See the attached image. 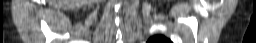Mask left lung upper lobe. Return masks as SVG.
Wrapping results in <instances>:
<instances>
[{
  "label": "left lung upper lobe",
  "instance_id": "5c2ea615",
  "mask_svg": "<svg viewBox=\"0 0 256 43\" xmlns=\"http://www.w3.org/2000/svg\"><path fill=\"white\" fill-rule=\"evenodd\" d=\"M148 43H171V41L163 35H155L149 39Z\"/></svg>",
  "mask_w": 256,
  "mask_h": 43
}]
</instances>
